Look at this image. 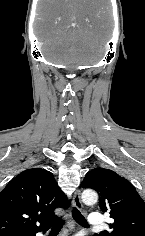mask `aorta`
I'll use <instances>...</instances> for the list:
<instances>
[{
	"label": "aorta",
	"instance_id": "obj_1",
	"mask_svg": "<svg viewBox=\"0 0 145 236\" xmlns=\"http://www.w3.org/2000/svg\"><path fill=\"white\" fill-rule=\"evenodd\" d=\"M81 198L86 205H93L98 201V195L93 190L83 191Z\"/></svg>",
	"mask_w": 145,
	"mask_h": 236
}]
</instances>
